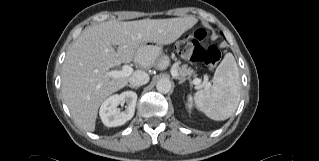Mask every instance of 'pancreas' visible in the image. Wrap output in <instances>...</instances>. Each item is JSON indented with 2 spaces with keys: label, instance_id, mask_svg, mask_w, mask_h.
Here are the masks:
<instances>
[{
  "label": "pancreas",
  "instance_id": "cf45deb5",
  "mask_svg": "<svg viewBox=\"0 0 319 161\" xmlns=\"http://www.w3.org/2000/svg\"><path fill=\"white\" fill-rule=\"evenodd\" d=\"M174 69H176L178 72V75L184 79H190L192 75L195 76L194 71L190 67H188L187 64L179 66V63H176L174 65Z\"/></svg>",
  "mask_w": 319,
  "mask_h": 161
}]
</instances>
